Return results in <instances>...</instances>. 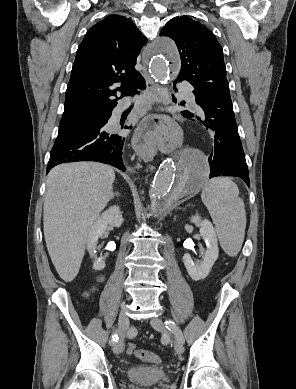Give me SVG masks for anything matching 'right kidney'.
<instances>
[{"label": "right kidney", "instance_id": "right-kidney-1", "mask_svg": "<svg viewBox=\"0 0 296 389\" xmlns=\"http://www.w3.org/2000/svg\"><path fill=\"white\" fill-rule=\"evenodd\" d=\"M123 224V217L117 205L111 206L104 211L93 224L86 242L87 251L91 257H95L98 239L102 237L108 226L120 227ZM105 258L95 259L93 268L100 271L105 268Z\"/></svg>", "mask_w": 296, "mask_h": 389}]
</instances>
